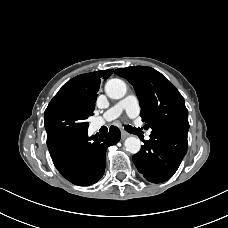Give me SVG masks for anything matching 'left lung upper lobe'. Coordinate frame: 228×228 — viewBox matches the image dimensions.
I'll return each instance as SVG.
<instances>
[{"instance_id":"obj_1","label":"left lung upper lobe","mask_w":228,"mask_h":228,"mask_svg":"<svg viewBox=\"0 0 228 228\" xmlns=\"http://www.w3.org/2000/svg\"><path fill=\"white\" fill-rule=\"evenodd\" d=\"M115 73L133 85L142 108V121L152 131L173 130L187 135L188 110L184 98L165 76L147 66L119 68Z\"/></svg>"}]
</instances>
